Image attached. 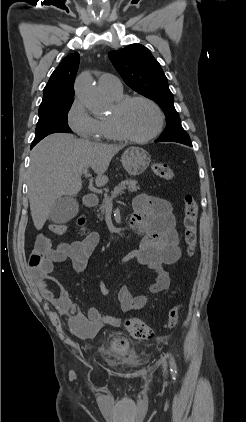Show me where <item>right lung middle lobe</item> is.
I'll return each mask as SVG.
<instances>
[{
	"label": "right lung middle lobe",
	"instance_id": "dd1d6c3e",
	"mask_svg": "<svg viewBox=\"0 0 246 422\" xmlns=\"http://www.w3.org/2000/svg\"><path fill=\"white\" fill-rule=\"evenodd\" d=\"M74 99L62 100L39 107L36 135L31 144L35 146L44 137L58 132L71 133L68 126V111Z\"/></svg>",
	"mask_w": 246,
	"mask_h": 422
}]
</instances>
